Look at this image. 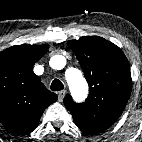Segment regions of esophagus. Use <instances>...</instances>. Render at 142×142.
<instances>
[{
  "instance_id": "esophagus-1",
  "label": "esophagus",
  "mask_w": 142,
  "mask_h": 142,
  "mask_svg": "<svg viewBox=\"0 0 142 142\" xmlns=\"http://www.w3.org/2000/svg\"><path fill=\"white\" fill-rule=\"evenodd\" d=\"M65 94H66V91H65V90H62V91L58 92V100H59L60 102L63 101Z\"/></svg>"
}]
</instances>
